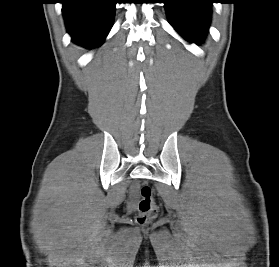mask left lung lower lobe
Segmentation results:
<instances>
[{
	"mask_svg": "<svg viewBox=\"0 0 279 267\" xmlns=\"http://www.w3.org/2000/svg\"><path fill=\"white\" fill-rule=\"evenodd\" d=\"M170 24L187 41L202 40L208 30L214 0H164Z\"/></svg>",
	"mask_w": 279,
	"mask_h": 267,
	"instance_id": "left-lung-lower-lobe-1",
	"label": "left lung lower lobe"
}]
</instances>
